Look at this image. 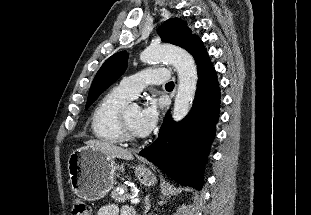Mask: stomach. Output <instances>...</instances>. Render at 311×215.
I'll list each match as a JSON object with an SVG mask.
<instances>
[{
    "mask_svg": "<svg viewBox=\"0 0 311 215\" xmlns=\"http://www.w3.org/2000/svg\"><path fill=\"white\" fill-rule=\"evenodd\" d=\"M117 170H124L114 159L88 146L74 150L68 158L69 182L74 193L87 201H96L111 190ZM135 175L145 186L156 183L153 172L143 165L135 168Z\"/></svg>",
    "mask_w": 311,
    "mask_h": 215,
    "instance_id": "stomach-1",
    "label": "stomach"
}]
</instances>
